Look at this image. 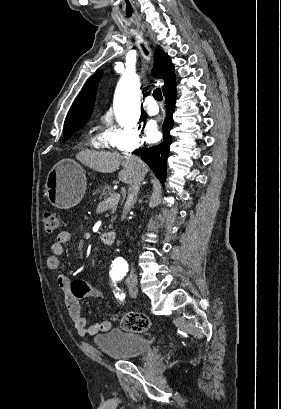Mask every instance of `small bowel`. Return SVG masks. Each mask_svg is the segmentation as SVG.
Segmentation results:
<instances>
[{"label": "small bowel", "instance_id": "obj_1", "mask_svg": "<svg viewBox=\"0 0 281 409\" xmlns=\"http://www.w3.org/2000/svg\"><path fill=\"white\" fill-rule=\"evenodd\" d=\"M71 233L63 230L58 233L55 240L51 243V255L47 259V267L50 270H58L60 267L59 257L64 253L65 245L70 241ZM57 283L60 287L64 303L72 324L79 336H95L99 332H106L111 329V322L103 319L94 324H88L81 315L80 300L85 297L95 296L103 297V292L96 286L80 279L71 280L66 274L57 275Z\"/></svg>", "mask_w": 281, "mask_h": 409}]
</instances>
